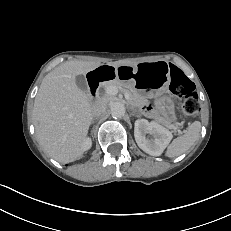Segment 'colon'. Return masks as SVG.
I'll return each mask as SVG.
<instances>
[{
  "instance_id": "colon-1",
  "label": "colon",
  "mask_w": 231,
  "mask_h": 231,
  "mask_svg": "<svg viewBox=\"0 0 231 231\" xmlns=\"http://www.w3.org/2000/svg\"><path fill=\"white\" fill-rule=\"evenodd\" d=\"M171 90L183 99L181 113L184 116H194L200 112V103L194 83L181 71L176 70L171 80Z\"/></svg>"
}]
</instances>
